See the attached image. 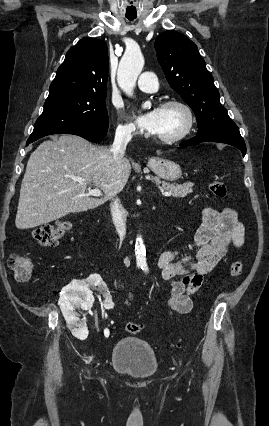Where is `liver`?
I'll list each match as a JSON object with an SVG mask.
<instances>
[{"label":"liver","instance_id":"1","mask_svg":"<svg viewBox=\"0 0 269 426\" xmlns=\"http://www.w3.org/2000/svg\"><path fill=\"white\" fill-rule=\"evenodd\" d=\"M130 173L129 160L123 157L117 163L108 147L93 145L77 135L52 137L30 155L15 225L18 229H30L70 213L97 208L112 193L123 189ZM88 184L100 188L104 196L89 197L85 193Z\"/></svg>","mask_w":269,"mask_h":426}]
</instances>
